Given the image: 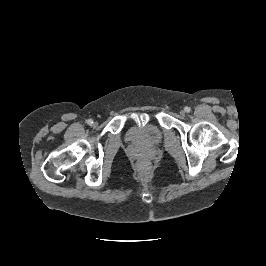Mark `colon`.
I'll return each mask as SVG.
<instances>
[{
    "label": "colon",
    "mask_w": 266,
    "mask_h": 266,
    "mask_svg": "<svg viewBox=\"0 0 266 266\" xmlns=\"http://www.w3.org/2000/svg\"><path fill=\"white\" fill-rule=\"evenodd\" d=\"M137 167H138V170H139L142 174H148V173L150 172V170H151V165H150V163H149L147 160H144V159H142V160H140V161L138 162Z\"/></svg>",
    "instance_id": "obj_1"
}]
</instances>
